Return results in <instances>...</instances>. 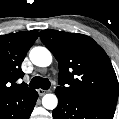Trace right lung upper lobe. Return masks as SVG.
Segmentation results:
<instances>
[{
	"instance_id": "right-lung-upper-lobe-1",
	"label": "right lung upper lobe",
	"mask_w": 119,
	"mask_h": 119,
	"mask_svg": "<svg viewBox=\"0 0 119 119\" xmlns=\"http://www.w3.org/2000/svg\"><path fill=\"white\" fill-rule=\"evenodd\" d=\"M37 37L36 30L0 35V104L33 91L16 81L24 76L21 63Z\"/></svg>"
}]
</instances>
